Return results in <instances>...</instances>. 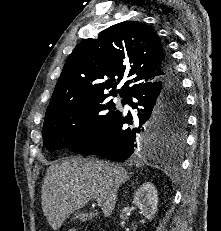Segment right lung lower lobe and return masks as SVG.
I'll list each match as a JSON object with an SVG mask.
<instances>
[{
  "mask_svg": "<svg viewBox=\"0 0 221 231\" xmlns=\"http://www.w3.org/2000/svg\"><path fill=\"white\" fill-rule=\"evenodd\" d=\"M161 68L163 76L160 81L142 86L123 99V103L137 109L135 118L130 112L124 116L119 111L102 131L71 151L78 154L99 155L118 162H123L131 156L146 157L161 153L165 142L150 128L155 110L163 98L185 104L175 64L166 49Z\"/></svg>",
  "mask_w": 221,
  "mask_h": 231,
  "instance_id": "98d812e1",
  "label": "right lung lower lobe"
}]
</instances>
